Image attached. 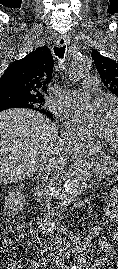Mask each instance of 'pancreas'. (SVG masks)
<instances>
[{"label":"pancreas","instance_id":"obj_1","mask_svg":"<svg viewBox=\"0 0 118 269\" xmlns=\"http://www.w3.org/2000/svg\"><path fill=\"white\" fill-rule=\"evenodd\" d=\"M115 178L114 177H99L98 178V183L99 184H110V182H114Z\"/></svg>","mask_w":118,"mask_h":269}]
</instances>
